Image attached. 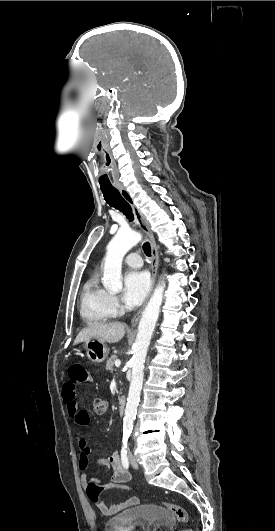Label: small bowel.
<instances>
[{
	"label": "small bowel",
	"mask_w": 275,
	"mask_h": 531,
	"mask_svg": "<svg viewBox=\"0 0 275 531\" xmlns=\"http://www.w3.org/2000/svg\"><path fill=\"white\" fill-rule=\"evenodd\" d=\"M69 384L64 386L62 396L64 403L66 404L68 414L73 420V423L76 427L77 434L80 437L79 446L81 449L78 466L82 474V482L87 485L88 479L85 474V471L90 466V454L91 448L88 446L84 438V428L89 424V415L86 410L79 408L78 401L76 398V386L73 384H89L92 382L93 377L91 371L87 367H77L76 364L70 363L66 367ZM97 467H105L111 472V478H117L121 483L127 484L131 480L130 472L123 468L121 465L120 455L117 451L111 452L106 457H100L95 462ZM139 504V499L137 497H130L129 499L115 504H106L104 501L99 500L95 505L97 509L104 516H113L120 511L133 507Z\"/></svg>",
	"instance_id": "1"
}]
</instances>
